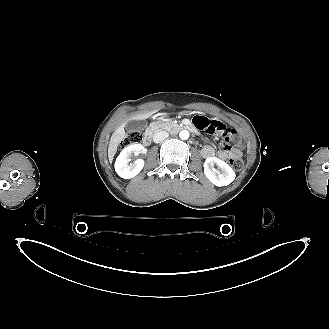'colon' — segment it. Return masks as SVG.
<instances>
[{
	"label": "colon",
	"mask_w": 329,
	"mask_h": 329,
	"mask_svg": "<svg viewBox=\"0 0 329 329\" xmlns=\"http://www.w3.org/2000/svg\"><path fill=\"white\" fill-rule=\"evenodd\" d=\"M197 116V115H196ZM220 136V134H219ZM142 140V132L140 129L131 130L126 134V137L121 142L120 147L125 148L134 144L140 143ZM241 146L242 140L239 136L236 135L235 131L232 130V133L229 135L227 139H223V146L225 148H230L231 146ZM230 166L239 171L243 168L244 162L242 159L238 157H232L229 161Z\"/></svg>",
	"instance_id": "5ec220e1"
}]
</instances>
